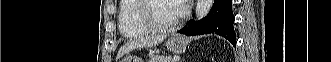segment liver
Returning <instances> with one entry per match:
<instances>
[{
	"mask_svg": "<svg viewBox=\"0 0 331 62\" xmlns=\"http://www.w3.org/2000/svg\"><path fill=\"white\" fill-rule=\"evenodd\" d=\"M166 38L165 35H157V36H148L144 38H139L136 40H131L124 44L118 51L117 59L122 57L124 54L137 49V48H143V47H152L156 46L160 42H162Z\"/></svg>",
	"mask_w": 331,
	"mask_h": 62,
	"instance_id": "obj_1",
	"label": "liver"
}]
</instances>
